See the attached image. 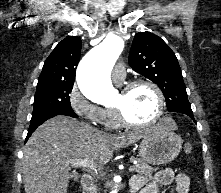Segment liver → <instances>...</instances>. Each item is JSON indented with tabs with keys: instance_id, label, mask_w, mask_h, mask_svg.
Masks as SVG:
<instances>
[{
	"instance_id": "1",
	"label": "liver",
	"mask_w": 221,
	"mask_h": 193,
	"mask_svg": "<svg viewBox=\"0 0 221 193\" xmlns=\"http://www.w3.org/2000/svg\"><path fill=\"white\" fill-rule=\"evenodd\" d=\"M161 121L169 128H177L171 118ZM149 131L113 135L68 116L51 118L36 129L24 147L25 193H67L71 178L69 161L87 159L106 164L115 150L134 144Z\"/></svg>"
}]
</instances>
